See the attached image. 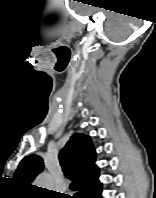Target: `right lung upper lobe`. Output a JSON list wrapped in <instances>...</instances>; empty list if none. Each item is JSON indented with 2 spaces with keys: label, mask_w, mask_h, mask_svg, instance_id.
Listing matches in <instances>:
<instances>
[{
  "label": "right lung upper lobe",
  "mask_w": 156,
  "mask_h": 198,
  "mask_svg": "<svg viewBox=\"0 0 156 198\" xmlns=\"http://www.w3.org/2000/svg\"><path fill=\"white\" fill-rule=\"evenodd\" d=\"M62 169L69 179L73 180L70 188L80 190L84 198H90L100 189L99 168L96 166V152L89 136L74 134L59 154ZM40 156L30 155L19 164L14 179L22 184L30 185L43 170Z\"/></svg>",
  "instance_id": "obj_1"
}]
</instances>
